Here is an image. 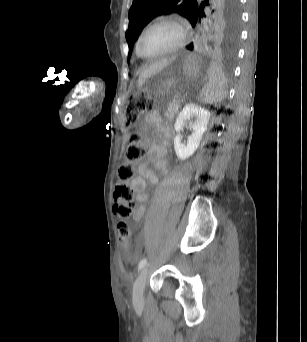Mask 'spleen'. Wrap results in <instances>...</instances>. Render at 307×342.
<instances>
[{
  "label": "spleen",
  "mask_w": 307,
  "mask_h": 342,
  "mask_svg": "<svg viewBox=\"0 0 307 342\" xmlns=\"http://www.w3.org/2000/svg\"><path fill=\"white\" fill-rule=\"evenodd\" d=\"M212 64L208 66V76L210 83H204L201 98L207 104H213L224 98V86L226 84V77L223 76V70L216 62L215 58L211 59Z\"/></svg>",
  "instance_id": "spleen-1"
}]
</instances>
